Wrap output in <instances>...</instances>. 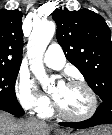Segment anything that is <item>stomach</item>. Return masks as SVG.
I'll list each match as a JSON object with an SVG mask.
<instances>
[{
    "instance_id": "1",
    "label": "stomach",
    "mask_w": 112,
    "mask_h": 135,
    "mask_svg": "<svg viewBox=\"0 0 112 135\" xmlns=\"http://www.w3.org/2000/svg\"><path fill=\"white\" fill-rule=\"evenodd\" d=\"M111 132H109L108 128L102 127V128H97L95 130H92L91 132H76L71 135H110ZM63 135V134H59ZM69 135V134H65Z\"/></svg>"
}]
</instances>
